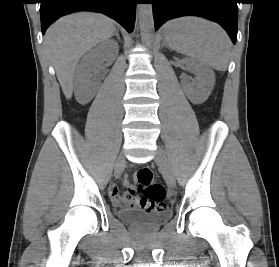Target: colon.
Listing matches in <instances>:
<instances>
[{
    "label": "colon",
    "instance_id": "colon-1",
    "mask_svg": "<svg viewBox=\"0 0 279 267\" xmlns=\"http://www.w3.org/2000/svg\"><path fill=\"white\" fill-rule=\"evenodd\" d=\"M136 180L142 197L139 205L145 212H161L165 209L163 202L166 191L165 188L153 179L152 169L148 166L142 167L136 173Z\"/></svg>",
    "mask_w": 279,
    "mask_h": 267
}]
</instances>
